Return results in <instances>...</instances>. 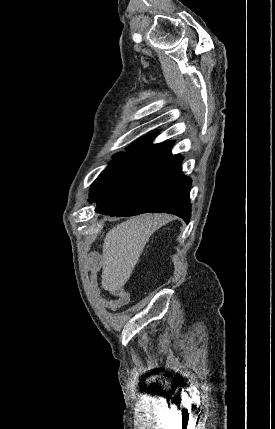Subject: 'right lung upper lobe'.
Returning <instances> with one entry per match:
<instances>
[{"mask_svg": "<svg viewBox=\"0 0 275 429\" xmlns=\"http://www.w3.org/2000/svg\"><path fill=\"white\" fill-rule=\"evenodd\" d=\"M153 137L154 135L140 138L131 147L127 148V151L132 153L130 155L145 157L152 160L167 151L174 143L173 141H170L165 144H151L150 140Z\"/></svg>", "mask_w": 275, "mask_h": 429, "instance_id": "obj_1", "label": "right lung upper lobe"}]
</instances>
